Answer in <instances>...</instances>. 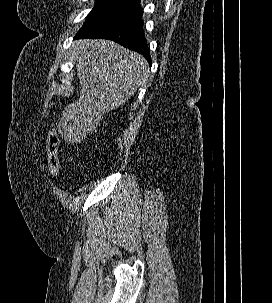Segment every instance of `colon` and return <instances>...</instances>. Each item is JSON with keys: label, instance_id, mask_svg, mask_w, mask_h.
I'll return each instance as SVG.
<instances>
[{"label": "colon", "instance_id": "5ec220e1", "mask_svg": "<svg viewBox=\"0 0 272 303\" xmlns=\"http://www.w3.org/2000/svg\"><path fill=\"white\" fill-rule=\"evenodd\" d=\"M59 146V135L54 130L50 131L47 139L46 164L47 170L52 176H56L60 170Z\"/></svg>", "mask_w": 272, "mask_h": 303}]
</instances>
